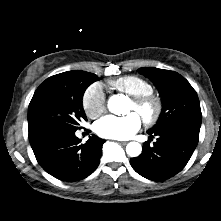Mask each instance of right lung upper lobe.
Listing matches in <instances>:
<instances>
[{
	"label": "right lung upper lobe",
	"mask_w": 221,
	"mask_h": 221,
	"mask_svg": "<svg viewBox=\"0 0 221 221\" xmlns=\"http://www.w3.org/2000/svg\"><path fill=\"white\" fill-rule=\"evenodd\" d=\"M34 137H29V141L32 140Z\"/></svg>",
	"instance_id": "cb5924a9"
}]
</instances>
